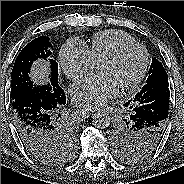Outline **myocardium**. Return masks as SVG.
<instances>
[{
    "mask_svg": "<svg viewBox=\"0 0 184 184\" xmlns=\"http://www.w3.org/2000/svg\"><path fill=\"white\" fill-rule=\"evenodd\" d=\"M130 49H138L143 56V63L142 66L137 73V75L128 83L123 84L120 88L122 90H131L136 88L143 78L145 77V74L148 70L149 63H150V55L148 50L143 46L142 44H139L137 42H132V43H126L118 47L114 52L109 54L108 56L104 57L99 63L107 62V63H112L117 61L126 51Z\"/></svg>",
    "mask_w": 184,
    "mask_h": 184,
    "instance_id": "myocardium-1",
    "label": "myocardium"
}]
</instances>
